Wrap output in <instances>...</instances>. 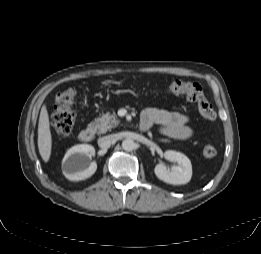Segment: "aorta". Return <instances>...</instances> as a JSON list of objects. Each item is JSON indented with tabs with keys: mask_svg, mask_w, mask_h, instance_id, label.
I'll list each match as a JSON object with an SVG mask.
<instances>
[{
	"mask_svg": "<svg viewBox=\"0 0 261 254\" xmlns=\"http://www.w3.org/2000/svg\"><path fill=\"white\" fill-rule=\"evenodd\" d=\"M135 142L132 139H125L122 141V148L125 151H132L135 149Z\"/></svg>",
	"mask_w": 261,
	"mask_h": 254,
	"instance_id": "1",
	"label": "aorta"
}]
</instances>
